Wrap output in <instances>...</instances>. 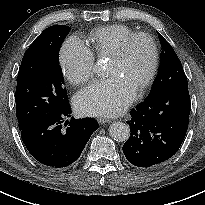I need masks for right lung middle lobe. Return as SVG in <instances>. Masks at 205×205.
Listing matches in <instances>:
<instances>
[{
	"label": "right lung middle lobe",
	"instance_id": "right-lung-middle-lobe-1",
	"mask_svg": "<svg viewBox=\"0 0 205 205\" xmlns=\"http://www.w3.org/2000/svg\"><path fill=\"white\" fill-rule=\"evenodd\" d=\"M70 30V27L64 25L48 27L25 52L15 94L20 130L51 110H59L68 103L58 54Z\"/></svg>",
	"mask_w": 205,
	"mask_h": 205
}]
</instances>
